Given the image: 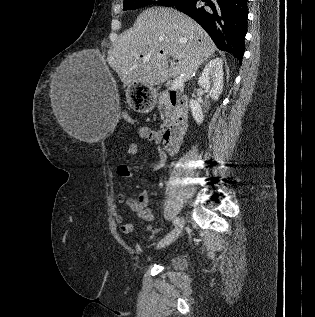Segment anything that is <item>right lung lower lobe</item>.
<instances>
[{"instance_id":"right-lung-lower-lobe-1","label":"right lung lower lobe","mask_w":315,"mask_h":317,"mask_svg":"<svg viewBox=\"0 0 315 317\" xmlns=\"http://www.w3.org/2000/svg\"><path fill=\"white\" fill-rule=\"evenodd\" d=\"M173 6L197 21L220 50L232 53L242 61L247 0H180Z\"/></svg>"}]
</instances>
